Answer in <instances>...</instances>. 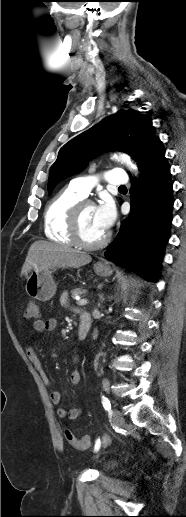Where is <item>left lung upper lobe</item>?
I'll return each instance as SVG.
<instances>
[{
	"mask_svg": "<svg viewBox=\"0 0 186 517\" xmlns=\"http://www.w3.org/2000/svg\"><path fill=\"white\" fill-rule=\"evenodd\" d=\"M159 140L151 119L134 110H120L66 143L51 166L48 192L62 179L81 171L100 148H119L138 163Z\"/></svg>",
	"mask_w": 186,
	"mask_h": 517,
	"instance_id": "obj_1",
	"label": "left lung upper lobe"
}]
</instances>
